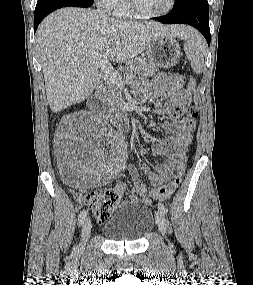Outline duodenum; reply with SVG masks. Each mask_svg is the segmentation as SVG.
I'll return each mask as SVG.
<instances>
[{
  "instance_id": "1",
  "label": "duodenum",
  "mask_w": 253,
  "mask_h": 285,
  "mask_svg": "<svg viewBox=\"0 0 253 285\" xmlns=\"http://www.w3.org/2000/svg\"><path fill=\"white\" fill-rule=\"evenodd\" d=\"M88 107L91 111L97 114L105 112L100 90H97L89 97ZM129 111L130 110L128 107H124L121 109L109 111L108 116L110 117L111 121L119 128L128 129L132 121V117Z\"/></svg>"
}]
</instances>
